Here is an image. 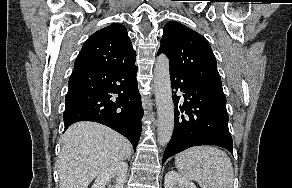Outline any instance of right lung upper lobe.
Returning <instances> with one entry per match:
<instances>
[{
	"label": "right lung upper lobe",
	"instance_id": "1",
	"mask_svg": "<svg viewBox=\"0 0 292 188\" xmlns=\"http://www.w3.org/2000/svg\"><path fill=\"white\" fill-rule=\"evenodd\" d=\"M135 57L125 26L114 23L87 39L74 67H128L135 63Z\"/></svg>",
	"mask_w": 292,
	"mask_h": 188
}]
</instances>
